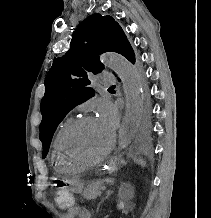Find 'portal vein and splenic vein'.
I'll return each mask as SVG.
<instances>
[{
    "mask_svg": "<svg viewBox=\"0 0 211 218\" xmlns=\"http://www.w3.org/2000/svg\"><path fill=\"white\" fill-rule=\"evenodd\" d=\"M106 189H107V186H104L103 191H106Z\"/></svg>",
    "mask_w": 211,
    "mask_h": 218,
    "instance_id": "1",
    "label": "portal vein and splenic vein"
}]
</instances>
